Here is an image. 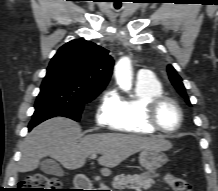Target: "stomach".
Returning <instances> with one entry per match:
<instances>
[{"label": "stomach", "instance_id": "obj_1", "mask_svg": "<svg viewBox=\"0 0 218 191\" xmlns=\"http://www.w3.org/2000/svg\"><path fill=\"white\" fill-rule=\"evenodd\" d=\"M168 161L167 156L161 150L147 149L139 155V162L149 172H154Z\"/></svg>", "mask_w": 218, "mask_h": 191}]
</instances>
